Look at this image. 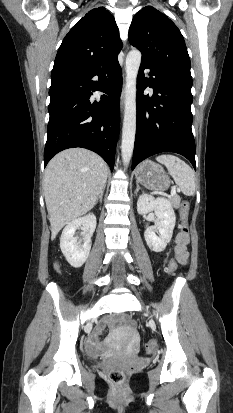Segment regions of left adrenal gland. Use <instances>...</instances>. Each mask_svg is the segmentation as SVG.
<instances>
[{
    "label": "left adrenal gland",
    "instance_id": "left-adrenal-gland-1",
    "mask_svg": "<svg viewBox=\"0 0 233 413\" xmlns=\"http://www.w3.org/2000/svg\"><path fill=\"white\" fill-rule=\"evenodd\" d=\"M137 188H136V190H135V194H137L138 193V191L140 190V186H139V184H138V182H137Z\"/></svg>",
    "mask_w": 233,
    "mask_h": 413
}]
</instances>
